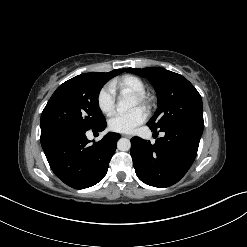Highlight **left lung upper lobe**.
I'll return each instance as SVG.
<instances>
[{
	"label": "left lung upper lobe",
	"mask_w": 247,
	"mask_h": 247,
	"mask_svg": "<svg viewBox=\"0 0 247 247\" xmlns=\"http://www.w3.org/2000/svg\"><path fill=\"white\" fill-rule=\"evenodd\" d=\"M124 71L148 78L158 97V109L147 123L160 129L177 122L204 127L202 99L182 75L160 67L127 68Z\"/></svg>",
	"instance_id": "left-lung-upper-lobe-1"
}]
</instances>
